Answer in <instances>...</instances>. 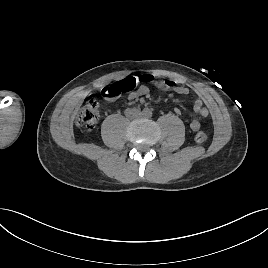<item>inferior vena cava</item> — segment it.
Instances as JSON below:
<instances>
[{"instance_id":"1","label":"inferior vena cava","mask_w":268,"mask_h":268,"mask_svg":"<svg viewBox=\"0 0 268 268\" xmlns=\"http://www.w3.org/2000/svg\"><path fill=\"white\" fill-rule=\"evenodd\" d=\"M131 114H132V116H131ZM127 115H128L129 117H131V118H137V117L140 116V112H139L138 110H129V111L127 112Z\"/></svg>"}]
</instances>
